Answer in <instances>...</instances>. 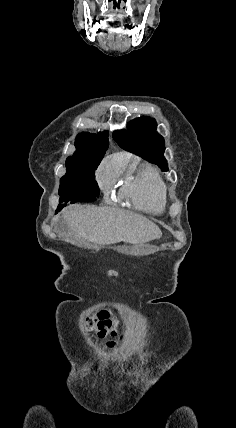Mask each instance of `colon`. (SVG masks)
<instances>
[{
	"mask_svg": "<svg viewBox=\"0 0 236 428\" xmlns=\"http://www.w3.org/2000/svg\"><path fill=\"white\" fill-rule=\"evenodd\" d=\"M84 327L88 331H97L100 337L114 335V322L109 318L106 312H103L98 319L87 317Z\"/></svg>",
	"mask_w": 236,
	"mask_h": 428,
	"instance_id": "colon-1",
	"label": "colon"
}]
</instances>
